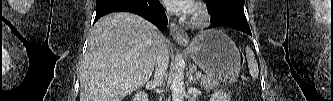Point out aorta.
<instances>
[{
  "mask_svg": "<svg viewBox=\"0 0 333 101\" xmlns=\"http://www.w3.org/2000/svg\"><path fill=\"white\" fill-rule=\"evenodd\" d=\"M184 59L181 55H176L174 63V76L171 84L172 101H183L185 96L184 85Z\"/></svg>",
  "mask_w": 333,
  "mask_h": 101,
  "instance_id": "1",
  "label": "aorta"
}]
</instances>
